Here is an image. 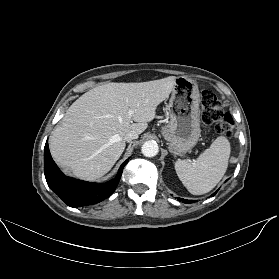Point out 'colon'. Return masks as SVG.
Segmentation results:
<instances>
[{"label": "colon", "instance_id": "1", "mask_svg": "<svg viewBox=\"0 0 279 279\" xmlns=\"http://www.w3.org/2000/svg\"><path fill=\"white\" fill-rule=\"evenodd\" d=\"M201 118L207 127H214L219 133L230 136L233 129L231 115L223 109L216 95L210 90L202 92Z\"/></svg>", "mask_w": 279, "mask_h": 279}]
</instances>
